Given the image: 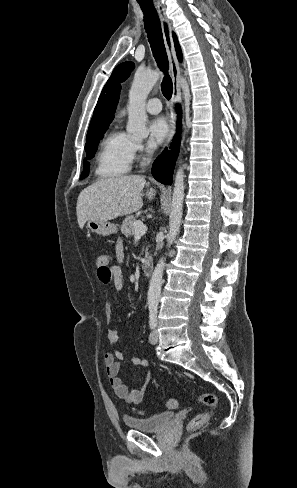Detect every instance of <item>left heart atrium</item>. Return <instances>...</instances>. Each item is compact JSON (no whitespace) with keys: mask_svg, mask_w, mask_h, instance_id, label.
Instances as JSON below:
<instances>
[{"mask_svg":"<svg viewBox=\"0 0 297 488\" xmlns=\"http://www.w3.org/2000/svg\"><path fill=\"white\" fill-rule=\"evenodd\" d=\"M150 141L152 144H161L169 136V125L164 117L154 118L149 123Z\"/></svg>","mask_w":297,"mask_h":488,"instance_id":"1","label":"left heart atrium"}]
</instances>
